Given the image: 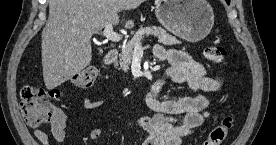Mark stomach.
<instances>
[{
    "mask_svg": "<svg viewBox=\"0 0 276 145\" xmlns=\"http://www.w3.org/2000/svg\"><path fill=\"white\" fill-rule=\"evenodd\" d=\"M155 14L171 33L189 42H199L214 24L212 7L206 0H159Z\"/></svg>",
    "mask_w": 276,
    "mask_h": 145,
    "instance_id": "0dacf381",
    "label": "stomach"
}]
</instances>
